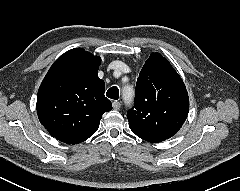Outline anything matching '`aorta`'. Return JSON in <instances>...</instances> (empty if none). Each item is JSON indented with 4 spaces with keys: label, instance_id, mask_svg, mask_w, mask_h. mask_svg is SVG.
I'll list each match as a JSON object with an SVG mask.
<instances>
[{
    "label": "aorta",
    "instance_id": "762f6f07",
    "mask_svg": "<svg viewBox=\"0 0 240 191\" xmlns=\"http://www.w3.org/2000/svg\"><path fill=\"white\" fill-rule=\"evenodd\" d=\"M124 100L126 101V102H129L130 101V99H131V97H129V96H127V94H126V91H124Z\"/></svg>",
    "mask_w": 240,
    "mask_h": 191
}]
</instances>
